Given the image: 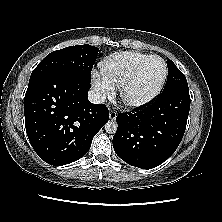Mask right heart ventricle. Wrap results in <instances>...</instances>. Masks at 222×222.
<instances>
[{
  "mask_svg": "<svg viewBox=\"0 0 222 222\" xmlns=\"http://www.w3.org/2000/svg\"><path fill=\"white\" fill-rule=\"evenodd\" d=\"M150 56L135 51L117 53L104 59L101 63V69L103 75L114 86L121 87L136 68Z\"/></svg>",
  "mask_w": 222,
  "mask_h": 222,
  "instance_id": "1",
  "label": "right heart ventricle"
}]
</instances>
